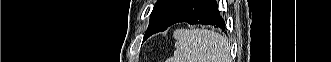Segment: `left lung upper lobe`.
Segmentation results:
<instances>
[{
    "label": "left lung upper lobe",
    "mask_w": 331,
    "mask_h": 62,
    "mask_svg": "<svg viewBox=\"0 0 331 62\" xmlns=\"http://www.w3.org/2000/svg\"><path fill=\"white\" fill-rule=\"evenodd\" d=\"M185 1L186 0H157L151 13L149 27L146 32L151 34L160 32L169 18Z\"/></svg>",
    "instance_id": "5c2ea615"
}]
</instances>
